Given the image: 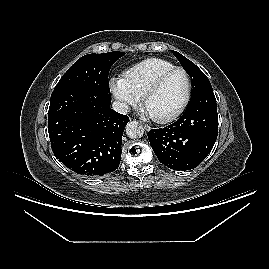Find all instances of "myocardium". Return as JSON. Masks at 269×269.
<instances>
[{"instance_id":"1","label":"myocardium","mask_w":269,"mask_h":269,"mask_svg":"<svg viewBox=\"0 0 269 269\" xmlns=\"http://www.w3.org/2000/svg\"><path fill=\"white\" fill-rule=\"evenodd\" d=\"M176 71H181L185 74L186 79H187V91L185 94V98L182 102V104L172 113L162 116V117H152L151 118L157 122V123H168L173 121L174 119H176L177 117H179L187 108L190 99H191V95H192V88H193V84H192V78L189 74V72L183 68V67H179V66H175L171 69H168L166 71H164L163 73H161L143 92V94L141 95V101H142V105L145 106L147 99L154 94L160 87L161 85L164 83V81L174 72Z\"/></svg>"}]
</instances>
